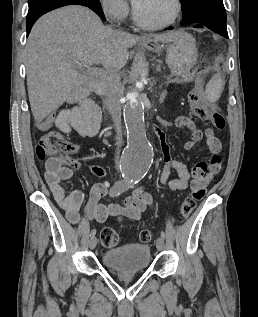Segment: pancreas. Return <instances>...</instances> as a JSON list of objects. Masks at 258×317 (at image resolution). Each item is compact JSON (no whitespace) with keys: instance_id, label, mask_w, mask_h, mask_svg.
<instances>
[{"instance_id":"pancreas-1","label":"pancreas","mask_w":258,"mask_h":317,"mask_svg":"<svg viewBox=\"0 0 258 317\" xmlns=\"http://www.w3.org/2000/svg\"><path fill=\"white\" fill-rule=\"evenodd\" d=\"M105 82V81H104ZM169 82H176L175 78L174 80H169ZM163 94L165 93L164 91L162 92Z\"/></svg>"}]
</instances>
